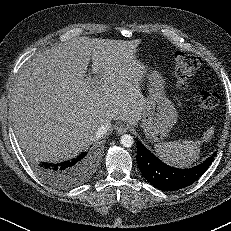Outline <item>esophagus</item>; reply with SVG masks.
Wrapping results in <instances>:
<instances>
[{"mask_svg":"<svg viewBox=\"0 0 231 231\" xmlns=\"http://www.w3.org/2000/svg\"><path fill=\"white\" fill-rule=\"evenodd\" d=\"M115 129H116V133L119 135L127 132V130H128V128L123 124L118 125Z\"/></svg>","mask_w":231,"mask_h":231,"instance_id":"34e87169","label":"esophagus"}]
</instances>
